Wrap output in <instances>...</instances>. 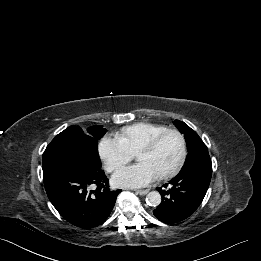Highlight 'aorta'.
I'll return each mask as SVG.
<instances>
[{
    "mask_svg": "<svg viewBox=\"0 0 261 261\" xmlns=\"http://www.w3.org/2000/svg\"><path fill=\"white\" fill-rule=\"evenodd\" d=\"M146 203L149 206H153V207L159 206L160 203H161V195H160V193L157 192V191L149 192L147 194V196H146Z\"/></svg>",
    "mask_w": 261,
    "mask_h": 261,
    "instance_id": "obj_1",
    "label": "aorta"
}]
</instances>
